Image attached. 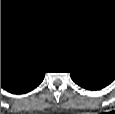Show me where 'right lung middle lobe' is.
Here are the masks:
<instances>
[{
  "label": "right lung middle lobe",
  "instance_id": "1",
  "mask_svg": "<svg viewBox=\"0 0 115 114\" xmlns=\"http://www.w3.org/2000/svg\"><path fill=\"white\" fill-rule=\"evenodd\" d=\"M16 56H18V54L12 46L4 42L3 43L1 42V57L2 58H10V57H16Z\"/></svg>",
  "mask_w": 115,
  "mask_h": 114
}]
</instances>
